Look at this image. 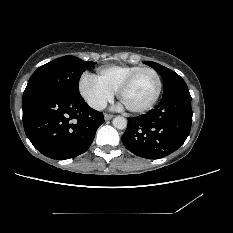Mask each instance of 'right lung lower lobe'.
<instances>
[{
  "label": "right lung lower lobe",
  "instance_id": "right-lung-lower-lobe-1",
  "mask_svg": "<svg viewBox=\"0 0 233 233\" xmlns=\"http://www.w3.org/2000/svg\"><path fill=\"white\" fill-rule=\"evenodd\" d=\"M23 126L28 139L43 155L65 160L90 147L103 113L80 96L46 91L23 98Z\"/></svg>",
  "mask_w": 233,
  "mask_h": 233
}]
</instances>
